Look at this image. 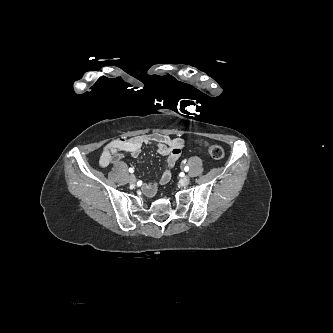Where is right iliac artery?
I'll return each instance as SVG.
<instances>
[{
	"instance_id": "1",
	"label": "right iliac artery",
	"mask_w": 333,
	"mask_h": 333,
	"mask_svg": "<svg viewBox=\"0 0 333 333\" xmlns=\"http://www.w3.org/2000/svg\"><path fill=\"white\" fill-rule=\"evenodd\" d=\"M129 172L133 173L134 172L133 168H129Z\"/></svg>"
}]
</instances>
